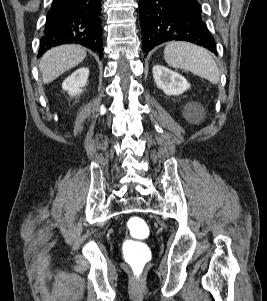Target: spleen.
<instances>
[{
  "mask_svg": "<svg viewBox=\"0 0 267 301\" xmlns=\"http://www.w3.org/2000/svg\"><path fill=\"white\" fill-rule=\"evenodd\" d=\"M164 59L173 68L190 71L213 84L219 82L220 73L214 59L199 46L187 42L168 43L164 49Z\"/></svg>",
  "mask_w": 267,
  "mask_h": 301,
  "instance_id": "obj_1",
  "label": "spleen"
}]
</instances>
